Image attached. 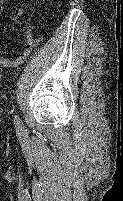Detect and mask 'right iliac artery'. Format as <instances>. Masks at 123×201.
<instances>
[{
    "label": "right iliac artery",
    "instance_id": "obj_1",
    "mask_svg": "<svg viewBox=\"0 0 123 201\" xmlns=\"http://www.w3.org/2000/svg\"><path fill=\"white\" fill-rule=\"evenodd\" d=\"M14 124H15L16 129H17L18 131H21V130H22L23 125H22V122H21V120L19 119L18 116H15V118H14Z\"/></svg>",
    "mask_w": 123,
    "mask_h": 201
}]
</instances>
